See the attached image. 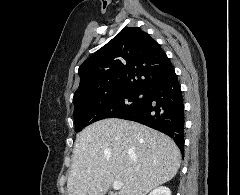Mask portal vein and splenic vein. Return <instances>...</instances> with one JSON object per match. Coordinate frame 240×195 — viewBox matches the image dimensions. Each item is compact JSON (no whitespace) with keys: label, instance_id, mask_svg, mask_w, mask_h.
Listing matches in <instances>:
<instances>
[{"label":"portal vein and splenic vein","instance_id":"1","mask_svg":"<svg viewBox=\"0 0 240 195\" xmlns=\"http://www.w3.org/2000/svg\"><path fill=\"white\" fill-rule=\"evenodd\" d=\"M112 187H113V189H121V187H122L121 181H113Z\"/></svg>","mask_w":240,"mask_h":195}]
</instances>
